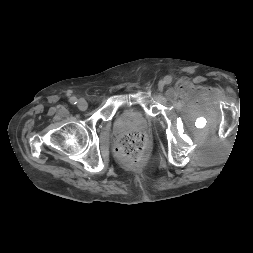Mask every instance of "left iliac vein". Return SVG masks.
<instances>
[{"instance_id":"left-iliac-vein-1","label":"left iliac vein","mask_w":253,"mask_h":253,"mask_svg":"<svg viewBox=\"0 0 253 253\" xmlns=\"http://www.w3.org/2000/svg\"><path fill=\"white\" fill-rule=\"evenodd\" d=\"M165 86V82L164 81H160L159 84H158V87L160 90H162Z\"/></svg>"}]
</instances>
